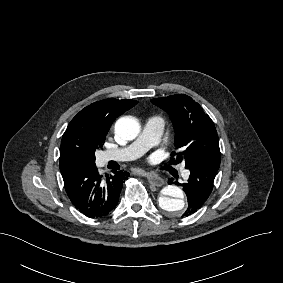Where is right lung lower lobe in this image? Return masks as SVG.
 Instances as JSON below:
<instances>
[{
    "label": "right lung lower lobe",
    "mask_w": 283,
    "mask_h": 283,
    "mask_svg": "<svg viewBox=\"0 0 283 283\" xmlns=\"http://www.w3.org/2000/svg\"><path fill=\"white\" fill-rule=\"evenodd\" d=\"M66 193L81 213L89 218L107 216L117 205L126 171H113L102 178L95 164H79L61 170Z\"/></svg>",
    "instance_id": "right-lung-lower-lobe-1"
}]
</instances>
